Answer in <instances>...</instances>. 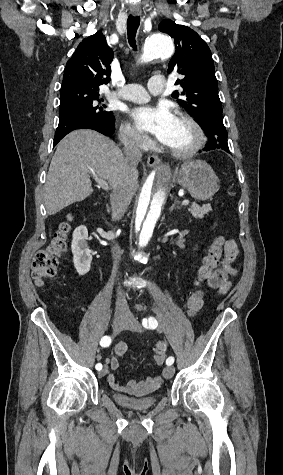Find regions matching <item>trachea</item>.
Here are the masks:
<instances>
[{
    "instance_id": "1",
    "label": "trachea",
    "mask_w": 283,
    "mask_h": 475,
    "mask_svg": "<svg viewBox=\"0 0 283 475\" xmlns=\"http://www.w3.org/2000/svg\"><path fill=\"white\" fill-rule=\"evenodd\" d=\"M140 25V17L129 15L127 19V34H128V41L130 46L133 48L134 51L137 50L136 46V33Z\"/></svg>"
}]
</instances>
